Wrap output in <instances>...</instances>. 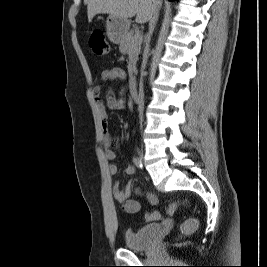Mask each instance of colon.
Wrapping results in <instances>:
<instances>
[{"label":"colon","instance_id":"obj_1","mask_svg":"<svg viewBox=\"0 0 267 267\" xmlns=\"http://www.w3.org/2000/svg\"><path fill=\"white\" fill-rule=\"evenodd\" d=\"M89 44L93 52L97 55L103 56L109 53V44L101 32H94L90 37ZM184 203L185 201L181 200L172 202L167 208V214L171 215L180 204ZM160 217L161 215L158 212H152L146 216L147 220H157ZM197 225L198 222L194 218L185 220L180 226L181 235L189 236L193 234L197 228Z\"/></svg>","mask_w":267,"mask_h":267}]
</instances>
